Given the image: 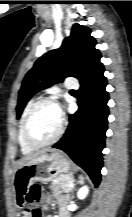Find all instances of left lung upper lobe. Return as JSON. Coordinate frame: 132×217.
I'll return each mask as SVG.
<instances>
[{"instance_id": "5c2ea615", "label": "left lung upper lobe", "mask_w": 132, "mask_h": 217, "mask_svg": "<svg viewBox=\"0 0 132 217\" xmlns=\"http://www.w3.org/2000/svg\"><path fill=\"white\" fill-rule=\"evenodd\" d=\"M90 33L89 28L74 24L70 36L64 39L59 49L44 54L35 62L19 91L17 118L36 92L69 76L82 82L95 71L101 64V54L95 49L96 40Z\"/></svg>"}]
</instances>
